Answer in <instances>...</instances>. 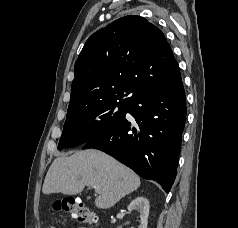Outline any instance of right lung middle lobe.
Segmentation results:
<instances>
[{
  "instance_id": "obj_1",
  "label": "right lung middle lobe",
  "mask_w": 238,
  "mask_h": 228,
  "mask_svg": "<svg viewBox=\"0 0 238 228\" xmlns=\"http://www.w3.org/2000/svg\"><path fill=\"white\" fill-rule=\"evenodd\" d=\"M127 102L106 101L69 113L63 127L58 149L84 144L120 121Z\"/></svg>"
}]
</instances>
